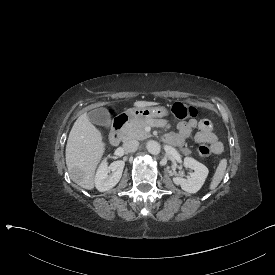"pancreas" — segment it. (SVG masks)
Wrapping results in <instances>:
<instances>
[{
  "mask_svg": "<svg viewBox=\"0 0 275 275\" xmlns=\"http://www.w3.org/2000/svg\"><path fill=\"white\" fill-rule=\"evenodd\" d=\"M146 126L151 127H170L167 124V121L164 119H146V120H130L127 124L122 127L120 133L123 135L124 140L128 139H137L144 140L151 137V134L145 131ZM182 152L185 155L191 153V151L187 148L182 149Z\"/></svg>",
  "mask_w": 275,
  "mask_h": 275,
  "instance_id": "pancreas-1",
  "label": "pancreas"
}]
</instances>
